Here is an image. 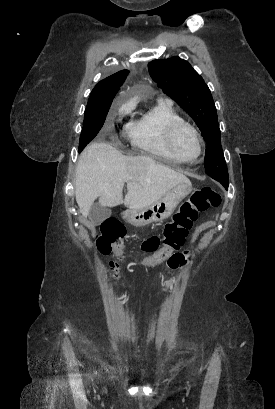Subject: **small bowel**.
<instances>
[{
	"label": "small bowel",
	"instance_id": "1",
	"mask_svg": "<svg viewBox=\"0 0 275 409\" xmlns=\"http://www.w3.org/2000/svg\"><path fill=\"white\" fill-rule=\"evenodd\" d=\"M193 261V258L191 256H189L188 251H185L181 254H178L177 256H169L168 257V269L173 271L175 269H181L186 267L187 262L191 263ZM113 272V271H112ZM122 270L120 268H117L114 270V273L111 275L112 278V282L114 284H117L119 282V280L124 279L125 275L121 274ZM127 277V276H126ZM172 284L171 280H167L165 282V290H167ZM124 285V284H123Z\"/></svg>",
	"mask_w": 275,
	"mask_h": 409
}]
</instances>
